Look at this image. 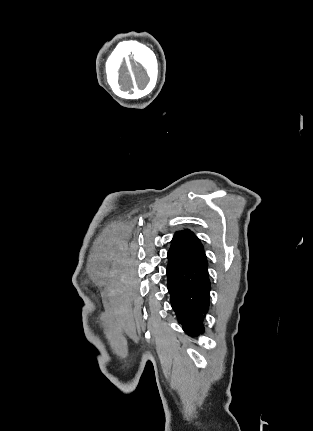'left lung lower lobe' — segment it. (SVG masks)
Masks as SVG:
<instances>
[{
    "instance_id": "left-lung-lower-lobe-1",
    "label": "left lung lower lobe",
    "mask_w": 313,
    "mask_h": 431,
    "mask_svg": "<svg viewBox=\"0 0 313 431\" xmlns=\"http://www.w3.org/2000/svg\"><path fill=\"white\" fill-rule=\"evenodd\" d=\"M207 267L203 246L195 234L176 232L168 251L167 287L178 322L191 337L205 331L211 289Z\"/></svg>"
}]
</instances>
